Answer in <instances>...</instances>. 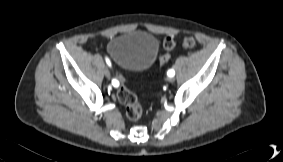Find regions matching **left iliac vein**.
Wrapping results in <instances>:
<instances>
[{
	"mask_svg": "<svg viewBox=\"0 0 283 162\" xmlns=\"http://www.w3.org/2000/svg\"><path fill=\"white\" fill-rule=\"evenodd\" d=\"M174 80H175V79H174L173 77H169V78H168V81L171 82V83L174 82Z\"/></svg>",
	"mask_w": 283,
	"mask_h": 162,
	"instance_id": "1",
	"label": "left iliac vein"
}]
</instances>
